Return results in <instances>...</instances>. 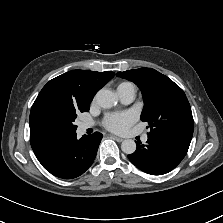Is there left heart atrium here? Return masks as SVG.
<instances>
[{
  "label": "left heart atrium",
  "mask_w": 223,
  "mask_h": 223,
  "mask_svg": "<svg viewBox=\"0 0 223 223\" xmlns=\"http://www.w3.org/2000/svg\"><path fill=\"white\" fill-rule=\"evenodd\" d=\"M137 119V114L133 111H123L109 113L105 116L103 124L112 132H123L127 130Z\"/></svg>",
  "instance_id": "39dd6f15"
}]
</instances>
